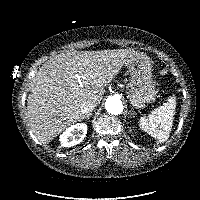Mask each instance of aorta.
I'll list each match as a JSON object with an SVG mask.
<instances>
[{"instance_id":"aorta-1","label":"aorta","mask_w":200,"mask_h":200,"mask_svg":"<svg viewBox=\"0 0 200 200\" xmlns=\"http://www.w3.org/2000/svg\"><path fill=\"white\" fill-rule=\"evenodd\" d=\"M106 110L112 115H119L123 111V104L118 96H110L105 102Z\"/></svg>"}]
</instances>
